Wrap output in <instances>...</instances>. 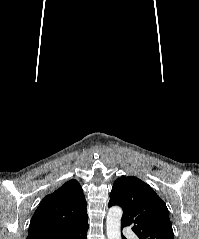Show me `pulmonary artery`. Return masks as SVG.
Returning a JSON list of instances; mask_svg holds the SVG:
<instances>
[{
	"label": "pulmonary artery",
	"mask_w": 199,
	"mask_h": 239,
	"mask_svg": "<svg viewBox=\"0 0 199 239\" xmlns=\"http://www.w3.org/2000/svg\"><path fill=\"white\" fill-rule=\"evenodd\" d=\"M124 234L129 239H137L136 234L129 228L124 230Z\"/></svg>",
	"instance_id": "pulmonary-artery-1"
}]
</instances>
